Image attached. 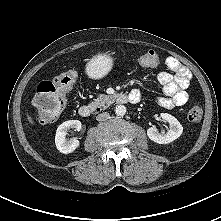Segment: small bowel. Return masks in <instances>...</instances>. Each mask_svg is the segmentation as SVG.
Masks as SVG:
<instances>
[{
  "label": "small bowel",
  "instance_id": "small-bowel-1",
  "mask_svg": "<svg viewBox=\"0 0 221 221\" xmlns=\"http://www.w3.org/2000/svg\"><path fill=\"white\" fill-rule=\"evenodd\" d=\"M166 65L172 73L162 72L158 75V82L163 88L164 96L158 97V104L165 108L182 106L188 101L187 88L190 84V72L176 59L168 57ZM130 95L141 99V92L133 90Z\"/></svg>",
  "mask_w": 221,
  "mask_h": 221
}]
</instances>
